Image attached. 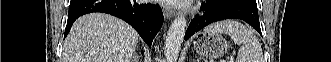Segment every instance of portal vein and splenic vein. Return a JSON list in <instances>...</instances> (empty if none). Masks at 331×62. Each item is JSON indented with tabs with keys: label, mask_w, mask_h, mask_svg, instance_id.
I'll return each mask as SVG.
<instances>
[{
	"label": "portal vein and splenic vein",
	"mask_w": 331,
	"mask_h": 62,
	"mask_svg": "<svg viewBox=\"0 0 331 62\" xmlns=\"http://www.w3.org/2000/svg\"><path fill=\"white\" fill-rule=\"evenodd\" d=\"M230 62H233V58L232 57L230 58Z\"/></svg>",
	"instance_id": "18ae733b"
}]
</instances>
